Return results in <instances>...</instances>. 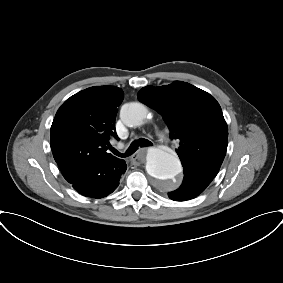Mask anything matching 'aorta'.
Listing matches in <instances>:
<instances>
[{
    "label": "aorta",
    "mask_w": 283,
    "mask_h": 283,
    "mask_svg": "<svg viewBox=\"0 0 283 283\" xmlns=\"http://www.w3.org/2000/svg\"><path fill=\"white\" fill-rule=\"evenodd\" d=\"M147 115V107L139 102L125 104L121 109V119L129 127L141 125ZM146 170L165 190H173L179 186L177 176L182 171L180 160L166 149L151 148L148 151Z\"/></svg>",
    "instance_id": "obj_1"
}]
</instances>
